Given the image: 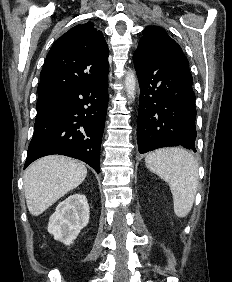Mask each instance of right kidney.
I'll use <instances>...</instances> for the list:
<instances>
[{
	"instance_id": "right-kidney-1",
	"label": "right kidney",
	"mask_w": 232,
	"mask_h": 282,
	"mask_svg": "<svg viewBox=\"0 0 232 282\" xmlns=\"http://www.w3.org/2000/svg\"><path fill=\"white\" fill-rule=\"evenodd\" d=\"M90 209L86 196L73 194L56 207L50 216L48 232L55 240L70 245L89 222Z\"/></svg>"
}]
</instances>
